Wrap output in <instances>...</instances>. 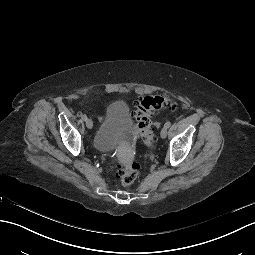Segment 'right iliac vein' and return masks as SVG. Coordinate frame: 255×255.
<instances>
[{
    "label": "right iliac vein",
    "mask_w": 255,
    "mask_h": 255,
    "mask_svg": "<svg viewBox=\"0 0 255 255\" xmlns=\"http://www.w3.org/2000/svg\"><path fill=\"white\" fill-rule=\"evenodd\" d=\"M86 126L88 129H91L93 127V122L91 119L86 120Z\"/></svg>",
    "instance_id": "63e3f726"
}]
</instances>
